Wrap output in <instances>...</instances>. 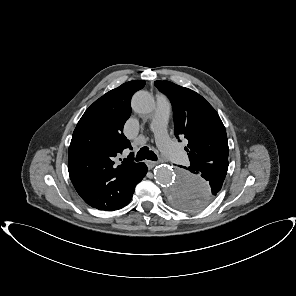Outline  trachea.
Returning a JSON list of instances; mask_svg holds the SVG:
<instances>
[{"instance_id": "obj_1", "label": "trachea", "mask_w": 296, "mask_h": 296, "mask_svg": "<svg viewBox=\"0 0 296 296\" xmlns=\"http://www.w3.org/2000/svg\"><path fill=\"white\" fill-rule=\"evenodd\" d=\"M145 159L152 161L157 160L156 154L153 151H150L147 146L142 147L136 155V161H142Z\"/></svg>"}]
</instances>
